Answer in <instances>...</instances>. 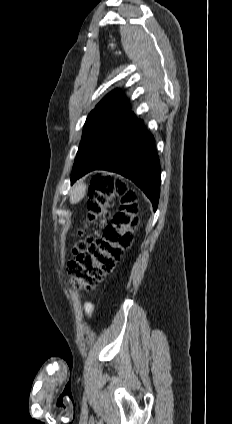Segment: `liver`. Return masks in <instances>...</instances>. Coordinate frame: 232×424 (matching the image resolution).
<instances>
[{
	"instance_id": "liver-1",
	"label": "liver",
	"mask_w": 232,
	"mask_h": 424,
	"mask_svg": "<svg viewBox=\"0 0 232 424\" xmlns=\"http://www.w3.org/2000/svg\"><path fill=\"white\" fill-rule=\"evenodd\" d=\"M85 192L86 185L82 181L75 184L70 193V203H78L85 196Z\"/></svg>"
}]
</instances>
